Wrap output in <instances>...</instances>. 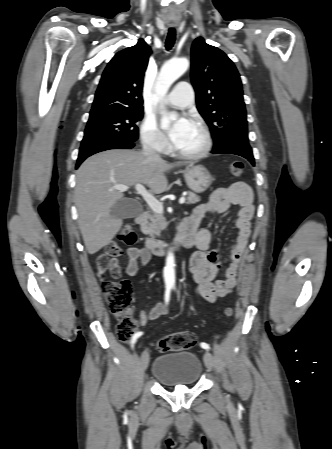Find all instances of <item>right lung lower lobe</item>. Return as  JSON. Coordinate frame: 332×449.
<instances>
[{
  "mask_svg": "<svg viewBox=\"0 0 332 449\" xmlns=\"http://www.w3.org/2000/svg\"><path fill=\"white\" fill-rule=\"evenodd\" d=\"M134 142L122 141V140H103L94 142L88 145L80 147V152L76 164V168L89 156L109 150V149H130L134 147Z\"/></svg>",
  "mask_w": 332,
  "mask_h": 449,
  "instance_id": "right-lung-lower-lobe-1",
  "label": "right lung lower lobe"
}]
</instances>
